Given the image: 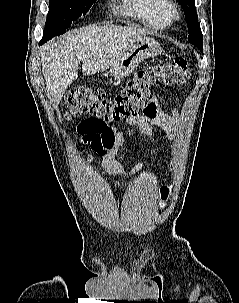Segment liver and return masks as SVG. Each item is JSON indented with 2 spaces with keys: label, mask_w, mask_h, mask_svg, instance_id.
Listing matches in <instances>:
<instances>
[{
  "label": "liver",
  "mask_w": 239,
  "mask_h": 303,
  "mask_svg": "<svg viewBox=\"0 0 239 303\" xmlns=\"http://www.w3.org/2000/svg\"><path fill=\"white\" fill-rule=\"evenodd\" d=\"M147 31L116 25H96L74 29L47 43L41 51L42 72L48 97L58 105L68 87L83 75L103 72L119 61Z\"/></svg>",
  "instance_id": "liver-1"
}]
</instances>
